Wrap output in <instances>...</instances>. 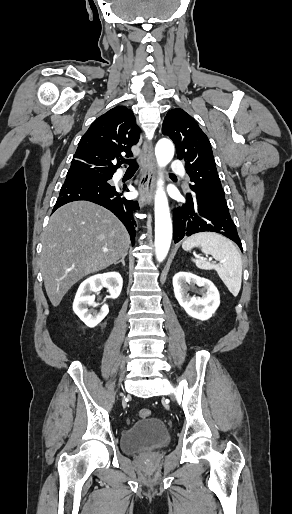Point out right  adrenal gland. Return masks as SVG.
Wrapping results in <instances>:
<instances>
[{"instance_id":"2a0ac1e0","label":"right adrenal gland","mask_w":292,"mask_h":514,"mask_svg":"<svg viewBox=\"0 0 292 514\" xmlns=\"http://www.w3.org/2000/svg\"><path fill=\"white\" fill-rule=\"evenodd\" d=\"M120 262H121L122 266H126V264H125V256H123V258H121V260H119V262H116V264H120ZM116 264H115V266H116Z\"/></svg>"}]
</instances>
